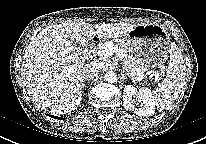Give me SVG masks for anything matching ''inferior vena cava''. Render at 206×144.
Wrapping results in <instances>:
<instances>
[{
	"label": "inferior vena cava",
	"instance_id": "1",
	"mask_svg": "<svg viewBox=\"0 0 206 144\" xmlns=\"http://www.w3.org/2000/svg\"><path fill=\"white\" fill-rule=\"evenodd\" d=\"M100 70L101 64L99 62L93 61L90 64H87L84 71L85 79H93L99 74Z\"/></svg>",
	"mask_w": 206,
	"mask_h": 144
}]
</instances>
